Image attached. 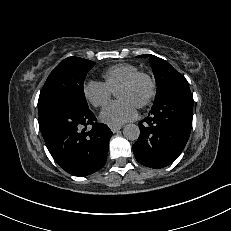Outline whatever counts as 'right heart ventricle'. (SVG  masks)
<instances>
[{
    "label": "right heart ventricle",
    "instance_id": "1",
    "mask_svg": "<svg viewBox=\"0 0 231 231\" xmlns=\"http://www.w3.org/2000/svg\"><path fill=\"white\" fill-rule=\"evenodd\" d=\"M137 72H139L137 66L129 63H119L107 68L102 76L104 84L111 91H115L123 81Z\"/></svg>",
    "mask_w": 231,
    "mask_h": 231
}]
</instances>
